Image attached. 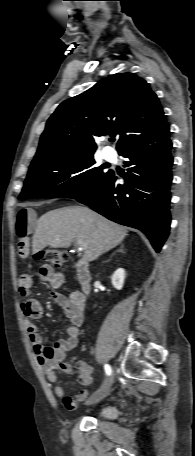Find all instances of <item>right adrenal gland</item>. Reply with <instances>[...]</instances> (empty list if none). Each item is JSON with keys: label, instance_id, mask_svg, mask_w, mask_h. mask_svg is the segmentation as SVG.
Returning <instances> with one entry per match:
<instances>
[{"label": "right adrenal gland", "instance_id": "right-adrenal-gland-1", "mask_svg": "<svg viewBox=\"0 0 195 456\" xmlns=\"http://www.w3.org/2000/svg\"><path fill=\"white\" fill-rule=\"evenodd\" d=\"M116 252H122V253H124L123 245H121V246H120V249L117 250V251H115V252L112 254V256H113Z\"/></svg>", "mask_w": 195, "mask_h": 456}]
</instances>
